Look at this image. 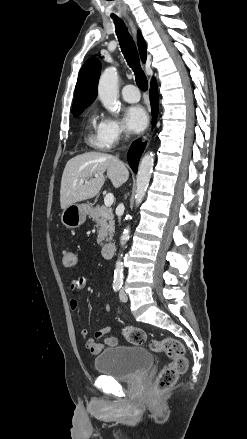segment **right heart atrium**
Returning <instances> with one entry per match:
<instances>
[{"label": "right heart atrium", "mask_w": 247, "mask_h": 439, "mask_svg": "<svg viewBox=\"0 0 247 439\" xmlns=\"http://www.w3.org/2000/svg\"><path fill=\"white\" fill-rule=\"evenodd\" d=\"M101 133L109 147L114 146L127 135L123 124L114 118L102 120Z\"/></svg>", "instance_id": "1"}]
</instances>
